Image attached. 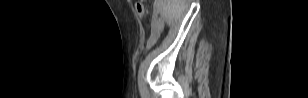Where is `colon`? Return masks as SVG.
<instances>
[{"label":"colon","mask_w":308,"mask_h":98,"mask_svg":"<svg viewBox=\"0 0 308 98\" xmlns=\"http://www.w3.org/2000/svg\"><path fill=\"white\" fill-rule=\"evenodd\" d=\"M136 11L141 18H145L147 16V9L143 1H138L135 4ZM154 46V45H153Z\"/></svg>","instance_id":"1"}]
</instances>
